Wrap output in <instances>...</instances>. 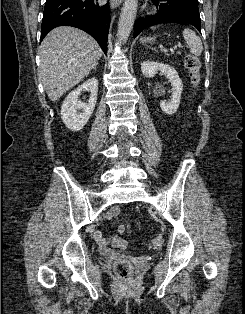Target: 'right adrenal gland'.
Returning a JSON list of instances; mask_svg holds the SVG:
<instances>
[{
  "mask_svg": "<svg viewBox=\"0 0 245 314\" xmlns=\"http://www.w3.org/2000/svg\"><path fill=\"white\" fill-rule=\"evenodd\" d=\"M93 70L96 71V70H97V67H94Z\"/></svg>",
  "mask_w": 245,
  "mask_h": 314,
  "instance_id": "right-adrenal-gland-1",
  "label": "right adrenal gland"
}]
</instances>
